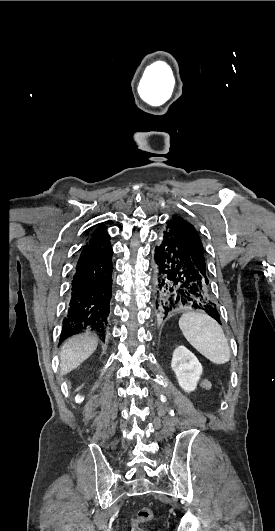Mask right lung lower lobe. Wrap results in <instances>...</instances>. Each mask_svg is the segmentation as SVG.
I'll list each match as a JSON object with an SVG mask.
<instances>
[{"label":"right lung lower lobe","instance_id":"1","mask_svg":"<svg viewBox=\"0 0 275 531\" xmlns=\"http://www.w3.org/2000/svg\"><path fill=\"white\" fill-rule=\"evenodd\" d=\"M109 239L101 227L81 251L60 342L85 329H91L99 336H104L107 331L113 271V250Z\"/></svg>","mask_w":275,"mask_h":531}]
</instances>
